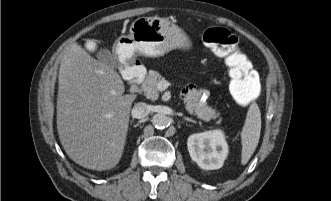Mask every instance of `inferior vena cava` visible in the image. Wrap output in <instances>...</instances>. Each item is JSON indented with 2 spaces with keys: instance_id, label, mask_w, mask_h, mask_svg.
I'll list each match as a JSON object with an SVG mask.
<instances>
[{
  "instance_id": "obj_1",
  "label": "inferior vena cava",
  "mask_w": 331,
  "mask_h": 201,
  "mask_svg": "<svg viewBox=\"0 0 331 201\" xmlns=\"http://www.w3.org/2000/svg\"><path fill=\"white\" fill-rule=\"evenodd\" d=\"M150 113V106L145 102H138L132 109V117L141 119L146 117Z\"/></svg>"
}]
</instances>
